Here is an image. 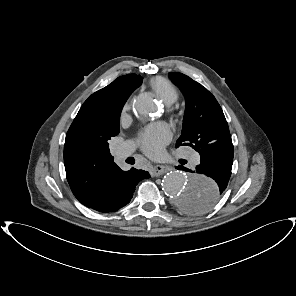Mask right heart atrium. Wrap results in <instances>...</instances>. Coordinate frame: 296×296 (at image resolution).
Wrapping results in <instances>:
<instances>
[{
    "instance_id": "obj_1",
    "label": "right heart atrium",
    "mask_w": 296,
    "mask_h": 296,
    "mask_svg": "<svg viewBox=\"0 0 296 296\" xmlns=\"http://www.w3.org/2000/svg\"><path fill=\"white\" fill-rule=\"evenodd\" d=\"M131 109V105L129 102H126L121 110V119H125L128 116V113Z\"/></svg>"
}]
</instances>
